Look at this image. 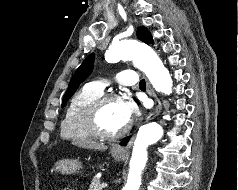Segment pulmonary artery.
Here are the masks:
<instances>
[{"instance_id": "obj_1", "label": "pulmonary artery", "mask_w": 238, "mask_h": 190, "mask_svg": "<svg viewBox=\"0 0 238 190\" xmlns=\"http://www.w3.org/2000/svg\"><path fill=\"white\" fill-rule=\"evenodd\" d=\"M116 80L119 84L125 86H133L138 82L137 74L132 70H123L117 73ZM107 86V82L104 80L93 81L88 84V87L102 94L103 90Z\"/></svg>"}]
</instances>
